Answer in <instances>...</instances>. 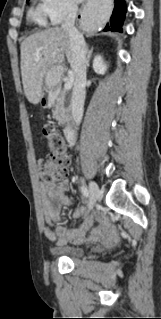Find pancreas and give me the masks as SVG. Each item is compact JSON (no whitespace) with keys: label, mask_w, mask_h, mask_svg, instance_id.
<instances>
[{"label":"pancreas","mask_w":161,"mask_h":319,"mask_svg":"<svg viewBox=\"0 0 161 319\" xmlns=\"http://www.w3.org/2000/svg\"><path fill=\"white\" fill-rule=\"evenodd\" d=\"M65 96V91H60V93L56 97L54 108L52 110L53 116L59 122V124H66L69 121L68 110L64 106Z\"/></svg>","instance_id":"obj_1"}]
</instances>
